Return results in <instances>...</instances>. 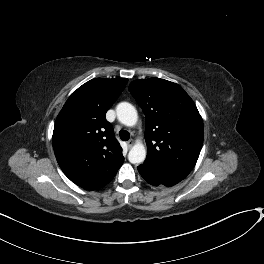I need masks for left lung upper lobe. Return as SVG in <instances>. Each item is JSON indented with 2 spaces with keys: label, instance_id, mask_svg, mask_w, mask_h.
<instances>
[{
  "label": "left lung upper lobe",
  "instance_id": "1",
  "mask_svg": "<svg viewBox=\"0 0 264 264\" xmlns=\"http://www.w3.org/2000/svg\"><path fill=\"white\" fill-rule=\"evenodd\" d=\"M128 89L146 118L148 151L142 165L184 179L197 162L204 137L193 100L180 85L160 78L134 80Z\"/></svg>",
  "mask_w": 264,
  "mask_h": 264
}]
</instances>
